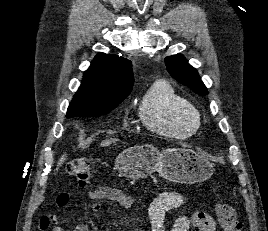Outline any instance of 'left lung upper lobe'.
<instances>
[{
	"instance_id": "obj_1",
	"label": "left lung upper lobe",
	"mask_w": 268,
	"mask_h": 231,
	"mask_svg": "<svg viewBox=\"0 0 268 231\" xmlns=\"http://www.w3.org/2000/svg\"><path fill=\"white\" fill-rule=\"evenodd\" d=\"M165 64L170 75L178 82L192 88L200 95L208 94L197 70L190 66L183 56L166 57Z\"/></svg>"
}]
</instances>
